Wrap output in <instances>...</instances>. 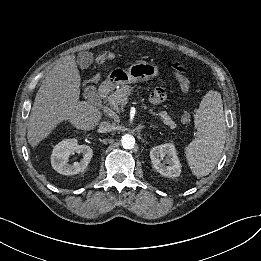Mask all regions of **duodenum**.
<instances>
[{"instance_id": "1", "label": "duodenum", "mask_w": 261, "mask_h": 261, "mask_svg": "<svg viewBox=\"0 0 261 261\" xmlns=\"http://www.w3.org/2000/svg\"><path fill=\"white\" fill-rule=\"evenodd\" d=\"M111 86H112V84L108 80H105L102 83H100V85L98 87L99 97L100 98L106 97L111 90Z\"/></svg>"}]
</instances>
